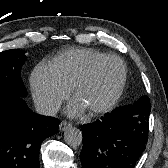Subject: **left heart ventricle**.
I'll return each instance as SVG.
<instances>
[{
	"instance_id": "obj_1",
	"label": "left heart ventricle",
	"mask_w": 168,
	"mask_h": 168,
	"mask_svg": "<svg viewBox=\"0 0 168 168\" xmlns=\"http://www.w3.org/2000/svg\"><path fill=\"white\" fill-rule=\"evenodd\" d=\"M120 76L119 63L115 60L106 61L98 68L93 80L81 90L77 100L87 110L101 106L110 97Z\"/></svg>"
}]
</instances>
